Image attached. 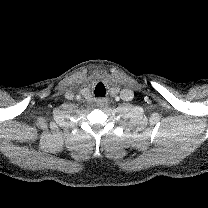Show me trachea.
I'll use <instances>...</instances> for the list:
<instances>
[{"mask_svg": "<svg viewBox=\"0 0 208 208\" xmlns=\"http://www.w3.org/2000/svg\"><path fill=\"white\" fill-rule=\"evenodd\" d=\"M99 85H100V84H99ZM99 85H97L96 88H95V91H94L95 95H96V96H105V94H106L105 87H104L103 93H102V92H98L97 88H98Z\"/></svg>", "mask_w": 208, "mask_h": 208, "instance_id": "1", "label": "trachea"}]
</instances>
